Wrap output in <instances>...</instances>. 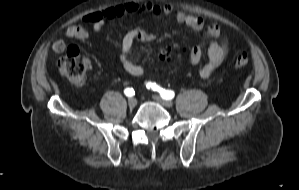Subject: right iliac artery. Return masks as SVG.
Listing matches in <instances>:
<instances>
[{
    "label": "right iliac artery",
    "instance_id": "obj_1",
    "mask_svg": "<svg viewBox=\"0 0 299 190\" xmlns=\"http://www.w3.org/2000/svg\"><path fill=\"white\" fill-rule=\"evenodd\" d=\"M124 93H125V95L128 96V97H131V96L135 95V91H134V89H132V88H126V89L124 90Z\"/></svg>",
    "mask_w": 299,
    "mask_h": 190
}]
</instances>
